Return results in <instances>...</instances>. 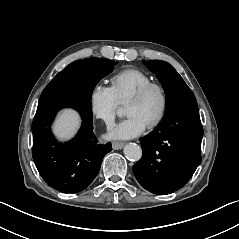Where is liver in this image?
<instances>
[{
    "mask_svg": "<svg viewBox=\"0 0 239 239\" xmlns=\"http://www.w3.org/2000/svg\"><path fill=\"white\" fill-rule=\"evenodd\" d=\"M80 117L72 109H65L59 112L53 126V133L59 140H67L74 136L80 127Z\"/></svg>",
    "mask_w": 239,
    "mask_h": 239,
    "instance_id": "obj_1",
    "label": "liver"
}]
</instances>
